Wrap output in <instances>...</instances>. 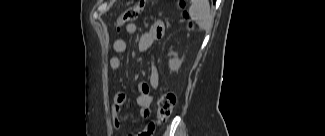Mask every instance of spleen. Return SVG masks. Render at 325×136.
<instances>
[{
	"mask_svg": "<svg viewBox=\"0 0 325 136\" xmlns=\"http://www.w3.org/2000/svg\"><path fill=\"white\" fill-rule=\"evenodd\" d=\"M190 15L201 29H211L213 19L210 15V6L207 0H193Z\"/></svg>",
	"mask_w": 325,
	"mask_h": 136,
	"instance_id": "1",
	"label": "spleen"
}]
</instances>
